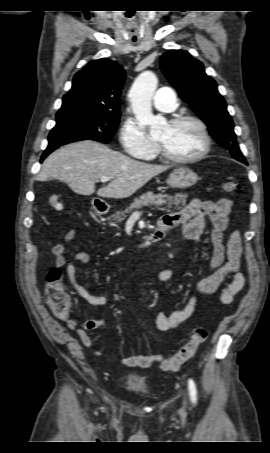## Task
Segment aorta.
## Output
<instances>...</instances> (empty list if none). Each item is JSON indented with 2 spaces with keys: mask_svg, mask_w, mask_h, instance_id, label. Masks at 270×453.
Segmentation results:
<instances>
[{
  "mask_svg": "<svg viewBox=\"0 0 270 453\" xmlns=\"http://www.w3.org/2000/svg\"><path fill=\"white\" fill-rule=\"evenodd\" d=\"M157 83L156 75L151 71H145L136 78L129 91L135 117L139 124L149 126L150 134L159 133L165 124L162 116H155L152 113L151 100Z\"/></svg>",
  "mask_w": 270,
  "mask_h": 453,
  "instance_id": "aorta-1",
  "label": "aorta"
}]
</instances>
